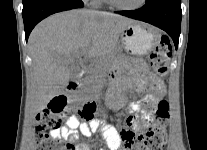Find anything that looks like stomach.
Listing matches in <instances>:
<instances>
[{
	"instance_id": "stomach-1",
	"label": "stomach",
	"mask_w": 207,
	"mask_h": 150,
	"mask_svg": "<svg viewBox=\"0 0 207 150\" xmlns=\"http://www.w3.org/2000/svg\"><path fill=\"white\" fill-rule=\"evenodd\" d=\"M156 30L139 23H132L121 33L123 48L131 55L142 57L147 55L157 41Z\"/></svg>"
}]
</instances>
